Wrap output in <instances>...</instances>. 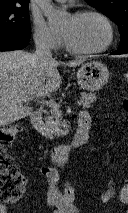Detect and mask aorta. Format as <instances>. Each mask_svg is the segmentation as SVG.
I'll return each mask as SVG.
<instances>
[{
	"label": "aorta",
	"mask_w": 128,
	"mask_h": 213,
	"mask_svg": "<svg viewBox=\"0 0 128 213\" xmlns=\"http://www.w3.org/2000/svg\"><path fill=\"white\" fill-rule=\"evenodd\" d=\"M37 1L44 15L47 17L49 24L58 25L64 20L66 13L55 9L50 3L51 0H37Z\"/></svg>",
	"instance_id": "aorta-1"
}]
</instances>
